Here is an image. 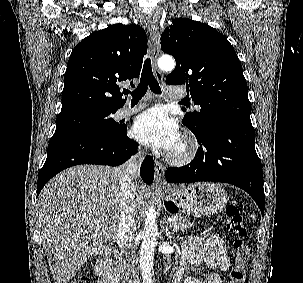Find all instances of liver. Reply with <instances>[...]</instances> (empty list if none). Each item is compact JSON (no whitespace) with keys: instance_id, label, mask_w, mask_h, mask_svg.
Here are the masks:
<instances>
[{"instance_id":"1","label":"liver","mask_w":303,"mask_h":283,"mask_svg":"<svg viewBox=\"0 0 303 283\" xmlns=\"http://www.w3.org/2000/svg\"><path fill=\"white\" fill-rule=\"evenodd\" d=\"M121 167L80 165L50 180L38 199L44 249L55 283H67L94 256L112 248L122 212ZM135 211L147 187L136 178Z\"/></svg>"}]
</instances>
